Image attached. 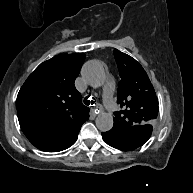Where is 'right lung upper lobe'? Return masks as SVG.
Here are the masks:
<instances>
[{"label":"right lung upper lobe","mask_w":193,"mask_h":193,"mask_svg":"<svg viewBox=\"0 0 193 193\" xmlns=\"http://www.w3.org/2000/svg\"><path fill=\"white\" fill-rule=\"evenodd\" d=\"M84 60V53L54 56L30 74L18 93L21 129L42 151L58 152L73 145L89 118V108L74 85Z\"/></svg>","instance_id":"obj_1"}]
</instances>
